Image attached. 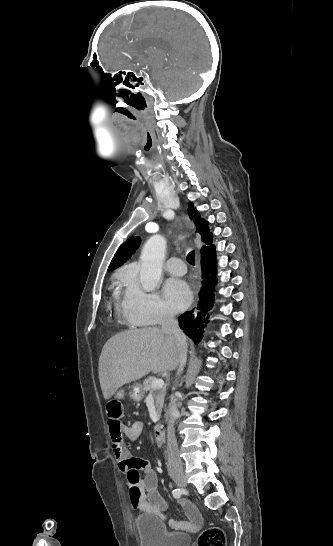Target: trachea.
I'll return each mask as SVG.
<instances>
[{
    "label": "trachea",
    "mask_w": 333,
    "mask_h": 546,
    "mask_svg": "<svg viewBox=\"0 0 333 546\" xmlns=\"http://www.w3.org/2000/svg\"><path fill=\"white\" fill-rule=\"evenodd\" d=\"M187 261L191 264V265H195V253L193 251L189 252L188 255H187Z\"/></svg>",
    "instance_id": "3493384b"
}]
</instances>
